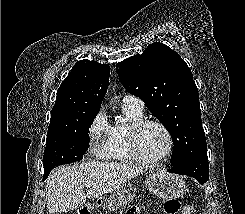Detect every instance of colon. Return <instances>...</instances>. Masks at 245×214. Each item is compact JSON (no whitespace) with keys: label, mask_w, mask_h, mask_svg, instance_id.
Returning a JSON list of instances; mask_svg holds the SVG:
<instances>
[{"label":"colon","mask_w":245,"mask_h":214,"mask_svg":"<svg viewBox=\"0 0 245 214\" xmlns=\"http://www.w3.org/2000/svg\"><path fill=\"white\" fill-rule=\"evenodd\" d=\"M164 209L167 214H194V208L191 205L182 206L177 200L167 201Z\"/></svg>","instance_id":"5ec220e1"}]
</instances>
